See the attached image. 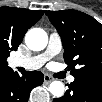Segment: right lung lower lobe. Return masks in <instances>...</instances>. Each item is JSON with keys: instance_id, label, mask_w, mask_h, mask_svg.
I'll return each mask as SVG.
<instances>
[{"instance_id": "98d812e1", "label": "right lung lower lobe", "mask_w": 102, "mask_h": 102, "mask_svg": "<svg viewBox=\"0 0 102 102\" xmlns=\"http://www.w3.org/2000/svg\"><path fill=\"white\" fill-rule=\"evenodd\" d=\"M44 75L39 71H27L19 77L10 68L0 72L1 93L6 101H27L33 87L41 85Z\"/></svg>"}]
</instances>
